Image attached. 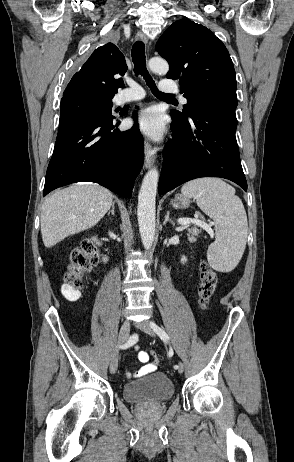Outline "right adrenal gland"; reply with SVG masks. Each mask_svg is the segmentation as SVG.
<instances>
[{"label":"right adrenal gland","mask_w":294,"mask_h":462,"mask_svg":"<svg viewBox=\"0 0 294 462\" xmlns=\"http://www.w3.org/2000/svg\"><path fill=\"white\" fill-rule=\"evenodd\" d=\"M115 215V202L112 203V208H111V211L108 212V215Z\"/></svg>","instance_id":"right-adrenal-gland-1"}]
</instances>
